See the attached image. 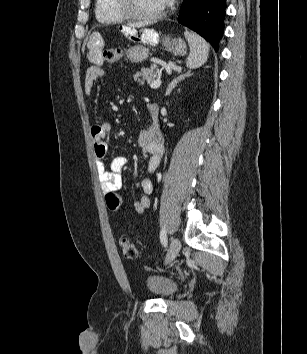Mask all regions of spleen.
Instances as JSON below:
<instances>
[{"instance_id":"3e777b00","label":"spleen","mask_w":307,"mask_h":354,"mask_svg":"<svg viewBox=\"0 0 307 354\" xmlns=\"http://www.w3.org/2000/svg\"><path fill=\"white\" fill-rule=\"evenodd\" d=\"M186 38L190 47V54L186 66L195 69L202 66L208 59L209 44L195 33H186Z\"/></svg>"}]
</instances>
